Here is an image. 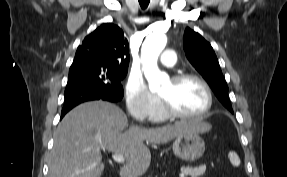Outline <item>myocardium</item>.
Here are the masks:
<instances>
[{"mask_svg": "<svg viewBox=\"0 0 287 177\" xmlns=\"http://www.w3.org/2000/svg\"><path fill=\"white\" fill-rule=\"evenodd\" d=\"M188 80L197 82L198 84L201 85V87L205 91V94L207 96V104L205 108L200 113H196V114L182 113V112L175 110L168 99L159 95L162 110L167 117L175 118V119H198V118H202L206 116L212 109L213 103H214L213 93H212L210 86L203 78L192 73H180V74L175 75L171 79L172 83L176 86Z\"/></svg>", "mask_w": 287, "mask_h": 177, "instance_id": "1", "label": "myocardium"}]
</instances>
